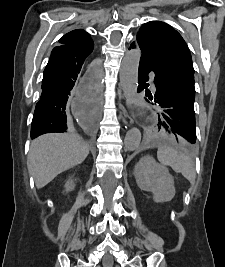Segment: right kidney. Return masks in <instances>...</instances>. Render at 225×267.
Here are the masks:
<instances>
[{"mask_svg":"<svg viewBox=\"0 0 225 267\" xmlns=\"http://www.w3.org/2000/svg\"><path fill=\"white\" fill-rule=\"evenodd\" d=\"M75 188V183L73 182V180H68L65 184V190L68 192V191H71Z\"/></svg>","mask_w":225,"mask_h":267,"instance_id":"1","label":"right kidney"}]
</instances>
